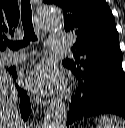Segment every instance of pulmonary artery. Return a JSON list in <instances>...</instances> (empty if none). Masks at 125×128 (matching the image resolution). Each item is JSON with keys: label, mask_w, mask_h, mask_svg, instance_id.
I'll return each instance as SVG.
<instances>
[{"label": "pulmonary artery", "mask_w": 125, "mask_h": 128, "mask_svg": "<svg viewBox=\"0 0 125 128\" xmlns=\"http://www.w3.org/2000/svg\"><path fill=\"white\" fill-rule=\"evenodd\" d=\"M70 45V36L68 34H52L50 36L49 47L51 49H63ZM25 53H9L3 56L7 64L20 63L26 59Z\"/></svg>", "instance_id": "e3ab8cb5"}]
</instances>
